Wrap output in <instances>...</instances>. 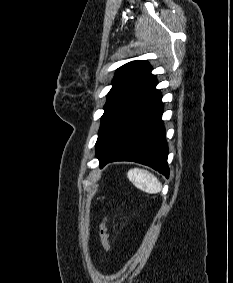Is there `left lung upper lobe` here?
Here are the masks:
<instances>
[{"label": "left lung upper lobe", "mask_w": 233, "mask_h": 283, "mask_svg": "<svg viewBox=\"0 0 233 283\" xmlns=\"http://www.w3.org/2000/svg\"><path fill=\"white\" fill-rule=\"evenodd\" d=\"M151 70L150 64L143 60L129 62L117 69L101 117L96 151L101 148L122 117L154 78Z\"/></svg>", "instance_id": "left-lung-upper-lobe-1"}]
</instances>
